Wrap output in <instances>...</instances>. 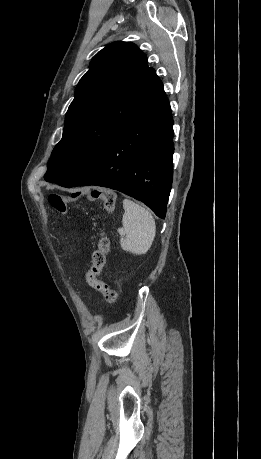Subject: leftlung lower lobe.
I'll return each instance as SVG.
<instances>
[{
	"label": "left lung lower lobe",
	"instance_id": "left-lung-lower-lobe-1",
	"mask_svg": "<svg viewBox=\"0 0 261 459\" xmlns=\"http://www.w3.org/2000/svg\"><path fill=\"white\" fill-rule=\"evenodd\" d=\"M172 126L161 83L101 151L59 185L115 189L165 218L173 178Z\"/></svg>",
	"mask_w": 261,
	"mask_h": 459
}]
</instances>
